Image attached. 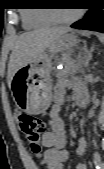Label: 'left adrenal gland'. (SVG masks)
I'll list each match as a JSON object with an SVG mask.
<instances>
[{
  "instance_id": "left-adrenal-gland-1",
  "label": "left adrenal gland",
  "mask_w": 104,
  "mask_h": 169,
  "mask_svg": "<svg viewBox=\"0 0 104 169\" xmlns=\"http://www.w3.org/2000/svg\"><path fill=\"white\" fill-rule=\"evenodd\" d=\"M83 50L85 51V55L83 57L84 61L85 63H89L92 60L93 47H91V49L88 50L86 46H84Z\"/></svg>"
}]
</instances>
